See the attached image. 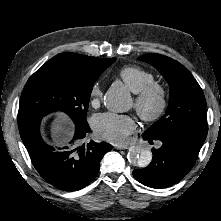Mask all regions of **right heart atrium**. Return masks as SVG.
<instances>
[{"instance_id":"1","label":"right heart atrium","mask_w":221,"mask_h":221,"mask_svg":"<svg viewBox=\"0 0 221 221\" xmlns=\"http://www.w3.org/2000/svg\"><path fill=\"white\" fill-rule=\"evenodd\" d=\"M102 98V89L99 82H95L90 90V103L95 106Z\"/></svg>"}]
</instances>
